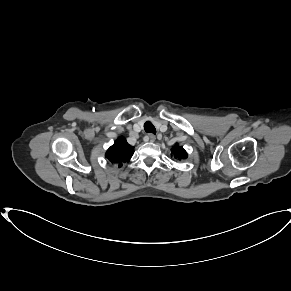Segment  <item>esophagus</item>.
Segmentation results:
<instances>
[{
  "instance_id": "esophagus-1",
  "label": "esophagus",
  "mask_w": 291,
  "mask_h": 291,
  "mask_svg": "<svg viewBox=\"0 0 291 291\" xmlns=\"http://www.w3.org/2000/svg\"><path fill=\"white\" fill-rule=\"evenodd\" d=\"M147 139H148V141H150V142H154V141L156 140V137H155L154 134H149Z\"/></svg>"
}]
</instances>
